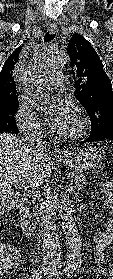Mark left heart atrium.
Returning <instances> with one entry per match:
<instances>
[{
	"label": "left heart atrium",
	"instance_id": "39dd6f15",
	"mask_svg": "<svg viewBox=\"0 0 113 279\" xmlns=\"http://www.w3.org/2000/svg\"><path fill=\"white\" fill-rule=\"evenodd\" d=\"M70 109L71 107L66 102H60L55 105L48 117L50 127L60 132L61 128L69 118Z\"/></svg>",
	"mask_w": 113,
	"mask_h": 279
}]
</instances>
